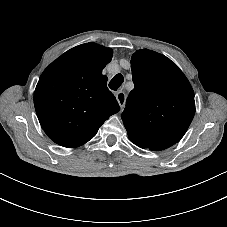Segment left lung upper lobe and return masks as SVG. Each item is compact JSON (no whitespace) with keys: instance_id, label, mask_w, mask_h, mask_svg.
Segmentation results:
<instances>
[{"instance_id":"1","label":"left lung upper lobe","mask_w":227,"mask_h":227,"mask_svg":"<svg viewBox=\"0 0 227 227\" xmlns=\"http://www.w3.org/2000/svg\"><path fill=\"white\" fill-rule=\"evenodd\" d=\"M134 89L121 115L131 142L158 151L177 143L195 114L194 92L166 56L139 50L131 59Z\"/></svg>"}]
</instances>
